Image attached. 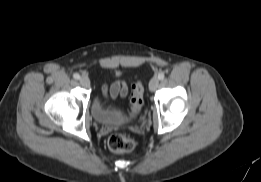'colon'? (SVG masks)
<instances>
[{
  "mask_svg": "<svg viewBox=\"0 0 261 182\" xmlns=\"http://www.w3.org/2000/svg\"><path fill=\"white\" fill-rule=\"evenodd\" d=\"M130 115L135 117L139 114L143 104V86L137 81L132 85ZM108 148L114 153L130 152L135 148V140L127 134H115L109 137Z\"/></svg>",
  "mask_w": 261,
  "mask_h": 182,
  "instance_id": "colon-1",
  "label": "colon"
}]
</instances>
